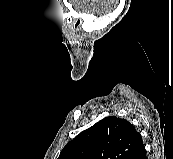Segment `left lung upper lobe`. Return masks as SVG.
I'll list each match as a JSON object with an SVG mask.
<instances>
[{
  "mask_svg": "<svg viewBox=\"0 0 173 159\" xmlns=\"http://www.w3.org/2000/svg\"><path fill=\"white\" fill-rule=\"evenodd\" d=\"M142 145L141 135L130 122L111 116L68 142L58 159H132Z\"/></svg>",
  "mask_w": 173,
  "mask_h": 159,
  "instance_id": "5c2ea615",
  "label": "left lung upper lobe"
}]
</instances>
